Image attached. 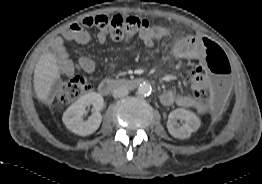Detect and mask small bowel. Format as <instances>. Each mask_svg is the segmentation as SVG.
Instances as JSON below:
<instances>
[{
  "label": "small bowel",
  "instance_id": "1",
  "mask_svg": "<svg viewBox=\"0 0 262 184\" xmlns=\"http://www.w3.org/2000/svg\"><path fill=\"white\" fill-rule=\"evenodd\" d=\"M168 34L169 31L164 26L154 25L148 27L144 32H142L140 34V39L144 45L152 47L157 41L168 36ZM62 37L63 39L75 41L82 45L88 44L90 41L88 33L77 23L66 27L62 32ZM63 39L58 37L54 42V49L61 73L70 76L76 71H83L86 73L93 72L95 69V63L91 58L81 57L75 63L69 59L68 52L63 45ZM97 40L100 44H104L107 40V36L102 32H98ZM205 43V39L199 38L195 35L182 37L174 44L172 48V56L177 59L195 60L206 66L208 64V59L204 53ZM160 100L165 106L176 104L182 108L194 109L199 113H202L205 110V106L201 101L196 100L190 95L179 94L173 90L163 92Z\"/></svg>",
  "mask_w": 262,
  "mask_h": 184
}]
</instances>
